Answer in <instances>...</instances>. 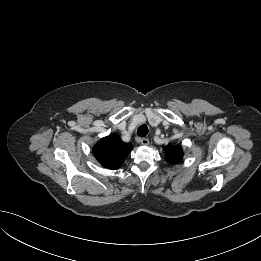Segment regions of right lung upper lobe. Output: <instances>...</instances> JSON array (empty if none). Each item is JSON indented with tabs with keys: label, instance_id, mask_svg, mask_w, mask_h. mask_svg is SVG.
I'll return each instance as SVG.
<instances>
[{
	"label": "right lung upper lobe",
	"instance_id": "cb5924a9",
	"mask_svg": "<svg viewBox=\"0 0 261 261\" xmlns=\"http://www.w3.org/2000/svg\"><path fill=\"white\" fill-rule=\"evenodd\" d=\"M131 150L130 143H124L120 136L111 134L95 144L93 154L103 166L115 170L122 165Z\"/></svg>",
	"mask_w": 261,
	"mask_h": 261
}]
</instances>
